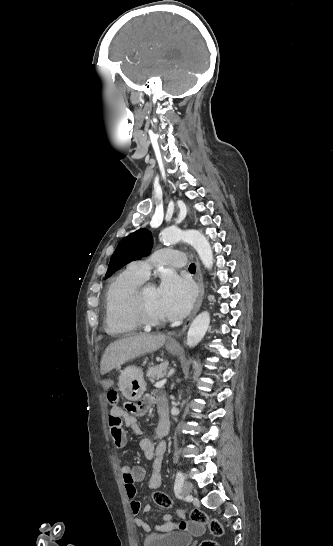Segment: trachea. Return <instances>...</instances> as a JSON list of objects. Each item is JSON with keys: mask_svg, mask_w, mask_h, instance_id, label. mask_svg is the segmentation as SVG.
<instances>
[{"mask_svg": "<svg viewBox=\"0 0 333 546\" xmlns=\"http://www.w3.org/2000/svg\"><path fill=\"white\" fill-rule=\"evenodd\" d=\"M195 268H196V267H195V264L192 263V264H190V266H189V271H190V272H195Z\"/></svg>", "mask_w": 333, "mask_h": 546, "instance_id": "obj_1", "label": "trachea"}]
</instances>
